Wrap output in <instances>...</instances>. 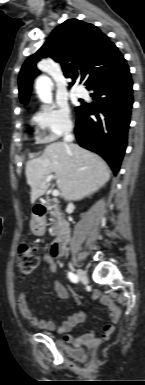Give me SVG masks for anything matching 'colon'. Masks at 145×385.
I'll return each instance as SVG.
<instances>
[{
  "label": "colon",
  "mask_w": 145,
  "mask_h": 385,
  "mask_svg": "<svg viewBox=\"0 0 145 385\" xmlns=\"http://www.w3.org/2000/svg\"><path fill=\"white\" fill-rule=\"evenodd\" d=\"M39 262L38 251L36 247L22 244L17 253V269L21 277L31 275Z\"/></svg>",
  "instance_id": "5ec220e1"
}]
</instances>
